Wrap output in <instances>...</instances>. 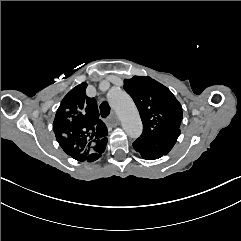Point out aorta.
Masks as SVG:
<instances>
[{
  "label": "aorta",
  "instance_id": "1",
  "mask_svg": "<svg viewBox=\"0 0 241 241\" xmlns=\"http://www.w3.org/2000/svg\"><path fill=\"white\" fill-rule=\"evenodd\" d=\"M108 100L120 118L126 134L131 138H138L142 133V121L131 97L124 91L116 90L108 94Z\"/></svg>",
  "mask_w": 241,
  "mask_h": 241
}]
</instances>
